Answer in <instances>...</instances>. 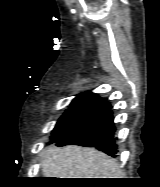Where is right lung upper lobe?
Instances as JSON below:
<instances>
[{"label":"right lung upper lobe","instance_id":"obj_1","mask_svg":"<svg viewBox=\"0 0 160 187\" xmlns=\"http://www.w3.org/2000/svg\"><path fill=\"white\" fill-rule=\"evenodd\" d=\"M106 99L100 98L97 94L85 92L79 94L72 102L71 105H94L98 106Z\"/></svg>","mask_w":160,"mask_h":187}]
</instances>
